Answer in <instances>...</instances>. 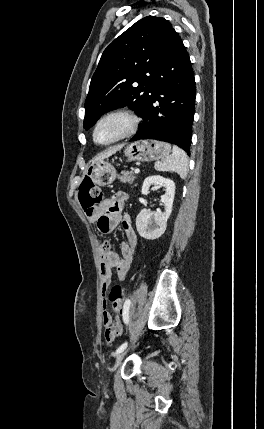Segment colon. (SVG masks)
I'll use <instances>...</instances> for the list:
<instances>
[{
	"instance_id": "obj_1",
	"label": "colon",
	"mask_w": 264,
	"mask_h": 429,
	"mask_svg": "<svg viewBox=\"0 0 264 429\" xmlns=\"http://www.w3.org/2000/svg\"><path fill=\"white\" fill-rule=\"evenodd\" d=\"M78 197L84 211L91 213L103 201L104 193L90 179H85L79 187ZM109 300L113 310L118 314H122L124 311L125 293L120 285H115L111 288Z\"/></svg>"
}]
</instances>
